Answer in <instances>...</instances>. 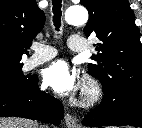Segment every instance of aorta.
I'll return each instance as SVG.
<instances>
[{
    "instance_id": "1",
    "label": "aorta",
    "mask_w": 142,
    "mask_h": 128,
    "mask_svg": "<svg viewBox=\"0 0 142 128\" xmlns=\"http://www.w3.org/2000/svg\"><path fill=\"white\" fill-rule=\"evenodd\" d=\"M64 19L70 25H82L88 20V12L82 6L70 7L66 10Z\"/></svg>"
}]
</instances>
